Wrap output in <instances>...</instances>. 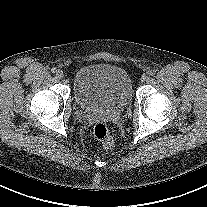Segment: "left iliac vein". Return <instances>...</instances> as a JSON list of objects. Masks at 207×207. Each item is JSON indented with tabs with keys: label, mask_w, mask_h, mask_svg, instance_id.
Masks as SVG:
<instances>
[{
	"label": "left iliac vein",
	"mask_w": 207,
	"mask_h": 207,
	"mask_svg": "<svg viewBox=\"0 0 207 207\" xmlns=\"http://www.w3.org/2000/svg\"><path fill=\"white\" fill-rule=\"evenodd\" d=\"M149 79V74L148 73H144L142 76H141V81L145 82Z\"/></svg>",
	"instance_id": "1"
}]
</instances>
